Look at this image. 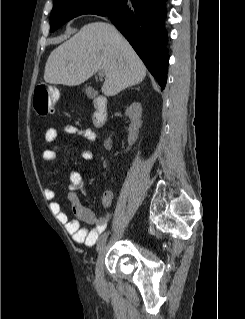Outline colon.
<instances>
[{
    "label": "colon",
    "instance_id": "5ec220e1",
    "mask_svg": "<svg viewBox=\"0 0 245 319\" xmlns=\"http://www.w3.org/2000/svg\"><path fill=\"white\" fill-rule=\"evenodd\" d=\"M59 93L57 89L49 84H39L34 90L33 106L35 112L40 116L51 113Z\"/></svg>",
    "mask_w": 245,
    "mask_h": 319
}]
</instances>
